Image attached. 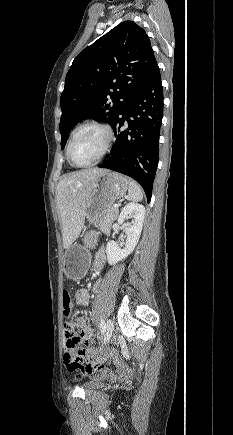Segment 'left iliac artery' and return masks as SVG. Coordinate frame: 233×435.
I'll use <instances>...</instances> for the list:
<instances>
[{
	"instance_id": "obj_1",
	"label": "left iliac artery",
	"mask_w": 233,
	"mask_h": 435,
	"mask_svg": "<svg viewBox=\"0 0 233 435\" xmlns=\"http://www.w3.org/2000/svg\"><path fill=\"white\" fill-rule=\"evenodd\" d=\"M105 329H106V324L103 320H101L100 321V330H101L102 334L105 332Z\"/></svg>"
}]
</instances>
